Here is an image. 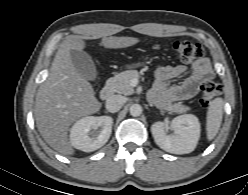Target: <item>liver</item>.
Returning <instances> with one entry per match:
<instances>
[{
  "label": "liver",
  "mask_w": 248,
  "mask_h": 195,
  "mask_svg": "<svg viewBox=\"0 0 248 195\" xmlns=\"http://www.w3.org/2000/svg\"><path fill=\"white\" fill-rule=\"evenodd\" d=\"M138 42L134 37L111 36L103 37L101 45L117 49ZM85 47L82 36L70 35L64 40L55 54L48 78L36 94L34 115L38 131L50 147L63 155L74 153L68 139L69 127L100 109L91 84L76 71L70 57V50L82 51Z\"/></svg>",
  "instance_id": "obj_1"
}]
</instances>
